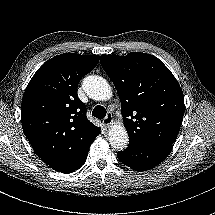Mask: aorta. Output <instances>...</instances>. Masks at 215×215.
<instances>
[{
	"mask_svg": "<svg viewBox=\"0 0 215 215\" xmlns=\"http://www.w3.org/2000/svg\"><path fill=\"white\" fill-rule=\"evenodd\" d=\"M89 88L88 93L92 99L97 101H107L113 96V90L110 84L100 76L88 77ZM107 139L111 146L116 150H123L127 147L129 136L123 125H113L110 127Z\"/></svg>",
	"mask_w": 215,
	"mask_h": 215,
	"instance_id": "aorta-1",
	"label": "aorta"
}]
</instances>
